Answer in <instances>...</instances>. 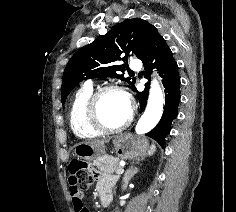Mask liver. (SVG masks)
Wrapping results in <instances>:
<instances>
[{"instance_id":"1","label":"liver","mask_w":236,"mask_h":212,"mask_svg":"<svg viewBox=\"0 0 236 212\" xmlns=\"http://www.w3.org/2000/svg\"><path fill=\"white\" fill-rule=\"evenodd\" d=\"M108 141H109V139H105V140L88 141V142H85V143L89 144L93 147H101V146H104Z\"/></svg>"}]
</instances>
